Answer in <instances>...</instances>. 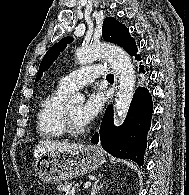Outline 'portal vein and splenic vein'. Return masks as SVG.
I'll list each match as a JSON object with an SVG mask.
<instances>
[{"instance_id": "obj_1", "label": "portal vein and splenic vein", "mask_w": 189, "mask_h": 195, "mask_svg": "<svg viewBox=\"0 0 189 195\" xmlns=\"http://www.w3.org/2000/svg\"><path fill=\"white\" fill-rule=\"evenodd\" d=\"M90 185H91V182H86V183L84 184V187L87 188V187H89Z\"/></svg>"}]
</instances>
